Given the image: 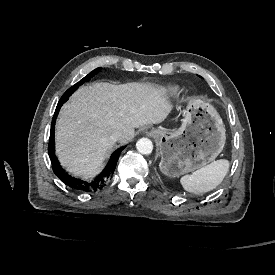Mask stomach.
<instances>
[{
    "label": "stomach",
    "instance_id": "1",
    "mask_svg": "<svg viewBox=\"0 0 275 275\" xmlns=\"http://www.w3.org/2000/svg\"><path fill=\"white\" fill-rule=\"evenodd\" d=\"M161 160L159 170L177 178L213 162L223 151L225 126L218 112L209 104L192 102L182 125L177 130L152 129Z\"/></svg>",
    "mask_w": 275,
    "mask_h": 275
}]
</instances>
